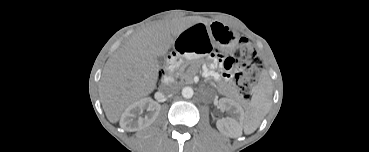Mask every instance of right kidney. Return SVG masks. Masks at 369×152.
Instances as JSON below:
<instances>
[{
  "mask_svg": "<svg viewBox=\"0 0 369 152\" xmlns=\"http://www.w3.org/2000/svg\"><path fill=\"white\" fill-rule=\"evenodd\" d=\"M160 108V104L150 97L143 98L127 107L121 119L129 130L137 131L151 125L158 117ZM145 109L148 114L142 117Z\"/></svg>",
  "mask_w": 369,
  "mask_h": 152,
  "instance_id": "1",
  "label": "right kidney"
}]
</instances>
